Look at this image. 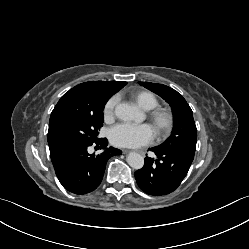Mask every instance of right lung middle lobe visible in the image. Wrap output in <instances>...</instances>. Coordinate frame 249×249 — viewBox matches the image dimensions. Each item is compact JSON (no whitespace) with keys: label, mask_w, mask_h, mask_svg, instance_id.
I'll return each mask as SVG.
<instances>
[{"label":"right lung middle lobe","mask_w":249,"mask_h":249,"mask_svg":"<svg viewBox=\"0 0 249 249\" xmlns=\"http://www.w3.org/2000/svg\"><path fill=\"white\" fill-rule=\"evenodd\" d=\"M108 98L96 99L92 112L64 119L58 129L59 139L66 149L93 143L98 139V129L103 124V109Z\"/></svg>","instance_id":"right-lung-middle-lobe-1"}]
</instances>
